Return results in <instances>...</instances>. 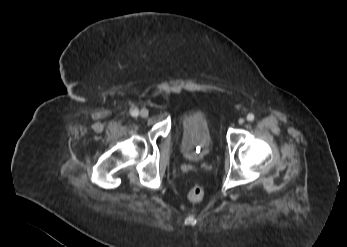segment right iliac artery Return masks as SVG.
<instances>
[{
  "mask_svg": "<svg viewBox=\"0 0 347 247\" xmlns=\"http://www.w3.org/2000/svg\"><path fill=\"white\" fill-rule=\"evenodd\" d=\"M139 113V110L135 107L131 108L130 109V114L133 116V117H136Z\"/></svg>",
  "mask_w": 347,
  "mask_h": 247,
  "instance_id": "82829eb1",
  "label": "right iliac artery"
}]
</instances>
